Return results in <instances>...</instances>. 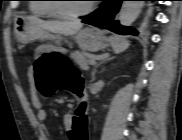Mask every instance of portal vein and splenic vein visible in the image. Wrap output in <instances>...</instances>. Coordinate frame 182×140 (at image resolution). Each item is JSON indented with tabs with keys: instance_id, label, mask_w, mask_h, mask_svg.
I'll return each mask as SVG.
<instances>
[{
	"instance_id": "obj_1",
	"label": "portal vein and splenic vein",
	"mask_w": 182,
	"mask_h": 140,
	"mask_svg": "<svg viewBox=\"0 0 182 140\" xmlns=\"http://www.w3.org/2000/svg\"><path fill=\"white\" fill-rule=\"evenodd\" d=\"M89 64L95 65V64H96V60H95V59H90V60H89Z\"/></svg>"
}]
</instances>
